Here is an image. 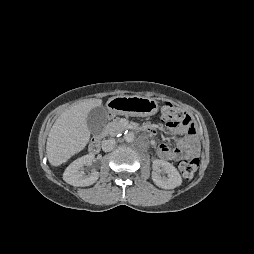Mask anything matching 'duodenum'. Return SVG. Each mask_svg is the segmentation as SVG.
I'll return each instance as SVG.
<instances>
[{"label": "duodenum", "mask_w": 254, "mask_h": 254, "mask_svg": "<svg viewBox=\"0 0 254 254\" xmlns=\"http://www.w3.org/2000/svg\"><path fill=\"white\" fill-rule=\"evenodd\" d=\"M141 129L145 132L151 133L150 130L145 127H142ZM100 147H101V142L99 138H94L89 144V151L91 154H97L100 151Z\"/></svg>", "instance_id": "duodenum-1"}]
</instances>
